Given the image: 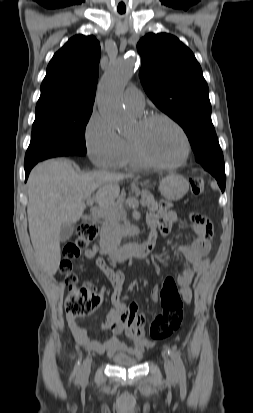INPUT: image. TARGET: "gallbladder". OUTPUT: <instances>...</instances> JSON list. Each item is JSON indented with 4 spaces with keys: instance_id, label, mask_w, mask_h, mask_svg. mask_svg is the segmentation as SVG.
Instances as JSON below:
<instances>
[{
    "instance_id": "obj_1",
    "label": "gallbladder",
    "mask_w": 253,
    "mask_h": 413,
    "mask_svg": "<svg viewBox=\"0 0 253 413\" xmlns=\"http://www.w3.org/2000/svg\"><path fill=\"white\" fill-rule=\"evenodd\" d=\"M74 232V225H62L59 233V241L66 242Z\"/></svg>"
}]
</instances>
